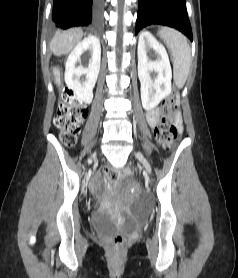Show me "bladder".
<instances>
[{"instance_id":"bladder-1","label":"bladder","mask_w":238,"mask_h":278,"mask_svg":"<svg viewBox=\"0 0 238 278\" xmlns=\"http://www.w3.org/2000/svg\"><path fill=\"white\" fill-rule=\"evenodd\" d=\"M92 225L99 231H109L117 226L116 221L106 212L97 211L92 215Z\"/></svg>"}]
</instances>
